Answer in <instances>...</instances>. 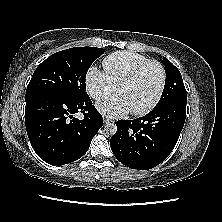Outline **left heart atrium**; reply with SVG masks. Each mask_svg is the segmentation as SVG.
<instances>
[{
    "label": "left heart atrium",
    "mask_w": 222,
    "mask_h": 222,
    "mask_svg": "<svg viewBox=\"0 0 222 222\" xmlns=\"http://www.w3.org/2000/svg\"><path fill=\"white\" fill-rule=\"evenodd\" d=\"M97 109L105 116L118 118L130 111V107L123 95L120 93L108 97L97 104Z\"/></svg>",
    "instance_id": "39dd6f15"
}]
</instances>
